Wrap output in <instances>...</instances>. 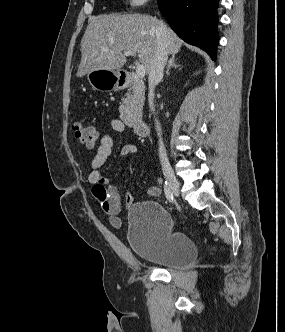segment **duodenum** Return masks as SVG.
Listing matches in <instances>:
<instances>
[{
    "label": "duodenum",
    "mask_w": 285,
    "mask_h": 332,
    "mask_svg": "<svg viewBox=\"0 0 285 332\" xmlns=\"http://www.w3.org/2000/svg\"><path fill=\"white\" fill-rule=\"evenodd\" d=\"M131 82H132L131 74L122 73L119 77L118 84H119L120 88H126L131 84ZM133 130L137 135H139L141 137H145L149 133V127L144 122H137V123L133 124Z\"/></svg>",
    "instance_id": "duodenum-1"
}]
</instances>
